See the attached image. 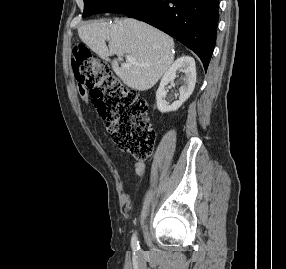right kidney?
<instances>
[{
    "label": "right kidney",
    "instance_id": "1",
    "mask_svg": "<svg viewBox=\"0 0 286 269\" xmlns=\"http://www.w3.org/2000/svg\"><path fill=\"white\" fill-rule=\"evenodd\" d=\"M185 73L184 83L180 87L179 100L174 101L171 105L165 100V86L176 78L177 71ZM196 83L195 60L190 56L178 58L163 75L159 88L156 92L157 108L160 112L176 111L190 97Z\"/></svg>",
    "mask_w": 286,
    "mask_h": 269
}]
</instances>
